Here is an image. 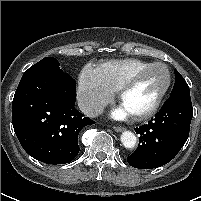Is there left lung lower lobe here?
<instances>
[{
  "label": "left lung lower lobe",
  "mask_w": 201,
  "mask_h": 201,
  "mask_svg": "<svg viewBox=\"0 0 201 201\" xmlns=\"http://www.w3.org/2000/svg\"><path fill=\"white\" fill-rule=\"evenodd\" d=\"M193 109L190 91L171 94L155 118L135 128L139 145L127 157L128 163L139 169L157 168L170 162L185 144Z\"/></svg>",
  "instance_id": "obj_1"
}]
</instances>
